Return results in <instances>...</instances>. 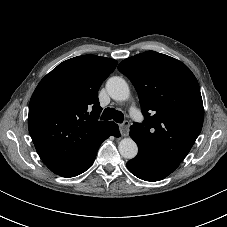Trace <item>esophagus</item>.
<instances>
[{
  "label": "esophagus",
  "instance_id": "1",
  "mask_svg": "<svg viewBox=\"0 0 227 227\" xmlns=\"http://www.w3.org/2000/svg\"><path fill=\"white\" fill-rule=\"evenodd\" d=\"M129 126H130V123L128 121H124L122 124L119 125V130L122 136L128 135Z\"/></svg>",
  "mask_w": 227,
  "mask_h": 227
}]
</instances>
